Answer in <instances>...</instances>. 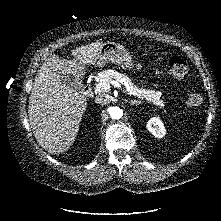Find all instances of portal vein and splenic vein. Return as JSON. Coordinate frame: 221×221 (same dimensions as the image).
<instances>
[{
  "label": "portal vein and splenic vein",
  "mask_w": 221,
  "mask_h": 221,
  "mask_svg": "<svg viewBox=\"0 0 221 221\" xmlns=\"http://www.w3.org/2000/svg\"><path fill=\"white\" fill-rule=\"evenodd\" d=\"M110 84H112L114 87L121 89L124 93H126V91L124 90V88H122L121 84L118 81H110L108 84L103 83V84H99L97 85V90L100 91L101 88L107 90L110 87ZM128 94V93H127Z\"/></svg>",
  "instance_id": "obj_1"
}]
</instances>
